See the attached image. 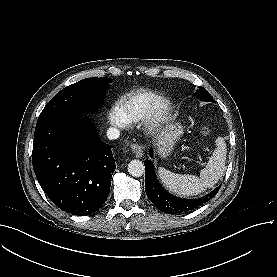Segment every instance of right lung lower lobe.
<instances>
[{"instance_id": "right-lung-lower-lobe-1", "label": "right lung lower lobe", "mask_w": 277, "mask_h": 277, "mask_svg": "<svg viewBox=\"0 0 277 277\" xmlns=\"http://www.w3.org/2000/svg\"><path fill=\"white\" fill-rule=\"evenodd\" d=\"M89 120L54 116L37 121L32 152L35 175L50 200L73 215L97 211L110 192L115 162Z\"/></svg>"}]
</instances>
